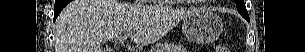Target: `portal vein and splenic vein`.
Instances as JSON below:
<instances>
[{
  "mask_svg": "<svg viewBox=\"0 0 305 52\" xmlns=\"http://www.w3.org/2000/svg\"><path fill=\"white\" fill-rule=\"evenodd\" d=\"M128 37H131L130 33L124 34L122 36L119 37V42L123 43Z\"/></svg>",
  "mask_w": 305,
  "mask_h": 52,
  "instance_id": "portal-vein-and-splenic-vein-1",
  "label": "portal vein and splenic vein"
}]
</instances>
